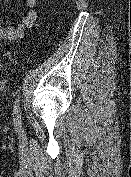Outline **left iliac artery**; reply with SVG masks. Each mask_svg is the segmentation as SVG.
I'll return each mask as SVG.
<instances>
[{
    "label": "left iliac artery",
    "instance_id": "1",
    "mask_svg": "<svg viewBox=\"0 0 131 177\" xmlns=\"http://www.w3.org/2000/svg\"><path fill=\"white\" fill-rule=\"evenodd\" d=\"M14 121L17 124H20L21 121V112H20V100L19 97L15 99L13 107Z\"/></svg>",
    "mask_w": 131,
    "mask_h": 177
}]
</instances>
